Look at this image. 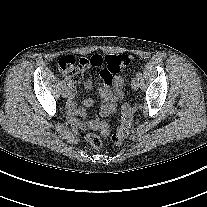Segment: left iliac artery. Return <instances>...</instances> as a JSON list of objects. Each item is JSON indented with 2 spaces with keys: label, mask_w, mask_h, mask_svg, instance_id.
I'll use <instances>...</instances> for the list:
<instances>
[{
  "label": "left iliac artery",
  "mask_w": 207,
  "mask_h": 207,
  "mask_svg": "<svg viewBox=\"0 0 207 207\" xmlns=\"http://www.w3.org/2000/svg\"><path fill=\"white\" fill-rule=\"evenodd\" d=\"M141 76H142V73H141V72H137V73H136V78L140 79Z\"/></svg>",
  "instance_id": "44dca946"
}]
</instances>
